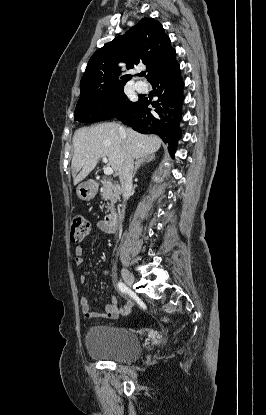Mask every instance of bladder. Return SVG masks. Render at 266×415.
Segmentation results:
<instances>
[{
	"label": "bladder",
	"instance_id": "bladder-1",
	"mask_svg": "<svg viewBox=\"0 0 266 415\" xmlns=\"http://www.w3.org/2000/svg\"><path fill=\"white\" fill-rule=\"evenodd\" d=\"M85 345L91 357L105 361L132 362L142 353L141 342L133 332L106 324L90 327Z\"/></svg>",
	"mask_w": 266,
	"mask_h": 415
}]
</instances>
